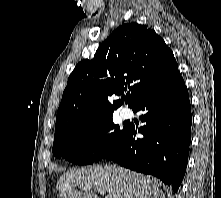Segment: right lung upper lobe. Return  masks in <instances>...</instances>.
Listing matches in <instances>:
<instances>
[{
	"label": "right lung upper lobe",
	"mask_w": 221,
	"mask_h": 198,
	"mask_svg": "<svg viewBox=\"0 0 221 198\" xmlns=\"http://www.w3.org/2000/svg\"><path fill=\"white\" fill-rule=\"evenodd\" d=\"M177 72L173 52L153 29L137 23L118 27L68 78L54 138L112 115L122 100H109L127 89L126 103L134 109Z\"/></svg>",
	"instance_id": "cb5924a9"
}]
</instances>
